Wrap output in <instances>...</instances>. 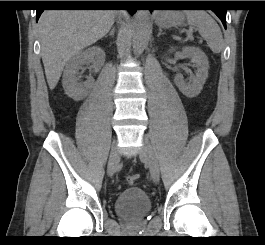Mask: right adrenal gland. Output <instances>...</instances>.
I'll list each match as a JSON object with an SVG mask.
<instances>
[{
  "label": "right adrenal gland",
  "mask_w": 265,
  "mask_h": 245,
  "mask_svg": "<svg viewBox=\"0 0 265 245\" xmlns=\"http://www.w3.org/2000/svg\"><path fill=\"white\" fill-rule=\"evenodd\" d=\"M114 33H115V29L112 28V29H110L109 33L104 36V38H107L108 36L114 37Z\"/></svg>",
  "instance_id": "obj_1"
}]
</instances>
